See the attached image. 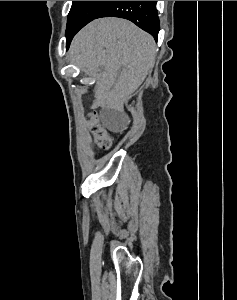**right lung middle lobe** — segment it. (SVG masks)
<instances>
[{"label":"right lung middle lobe","mask_w":237,"mask_h":300,"mask_svg":"<svg viewBox=\"0 0 237 300\" xmlns=\"http://www.w3.org/2000/svg\"><path fill=\"white\" fill-rule=\"evenodd\" d=\"M111 2L112 1H73L67 19V46L70 44L74 35L87 23L96 19Z\"/></svg>","instance_id":"dd1d6c3e"}]
</instances>
